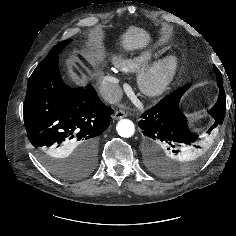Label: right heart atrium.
<instances>
[{
  "mask_svg": "<svg viewBox=\"0 0 236 236\" xmlns=\"http://www.w3.org/2000/svg\"><path fill=\"white\" fill-rule=\"evenodd\" d=\"M99 88L105 100L112 102L117 99L119 83L115 75L110 72H101L98 76Z\"/></svg>",
  "mask_w": 236,
  "mask_h": 236,
  "instance_id": "d8ad5b80",
  "label": "right heart atrium"
}]
</instances>
